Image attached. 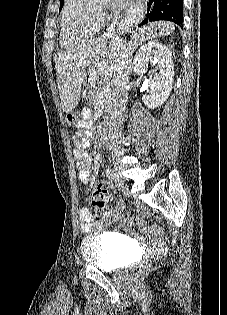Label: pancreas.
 Segmentation results:
<instances>
[{
	"label": "pancreas",
	"instance_id": "1",
	"mask_svg": "<svg viewBox=\"0 0 227 315\" xmlns=\"http://www.w3.org/2000/svg\"><path fill=\"white\" fill-rule=\"evenodd\" d=\"M90 84H91V87L89 88V91L87 92V97L89 98L90 104L96 105L98 101H97V98L95 97V94L102 90V88L99 86L101 82H99L98 77L93 76L91 78ZM110 98H111V93L109 91L107 93V96L101 100L100 107L102 110L106 111L108 109Z\"/></svg>",
	"mask_w": 227,
	"mask_h": 315
}]
</instances>
